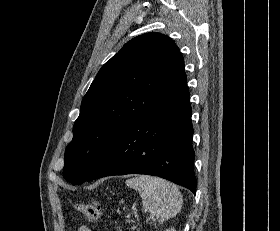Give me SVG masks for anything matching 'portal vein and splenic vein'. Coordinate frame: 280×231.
I'll return each instance as SVG.
<instances>
[{
	"mask_svg": "<svg viewBox=\"0 0 280 231\" xmlns=\"http://www.w3.org/2000/svg\"><path fill=\"white\" fill-rule=\"evenodd\" d=\"M150 217H152V219H154V213H151Z\"/></svg>",
	"mask_w": 280,
	"mask_h": 231,
	"instance_id": "1",
	"label": "portal vein and splenic vein"
}]
</instances>
